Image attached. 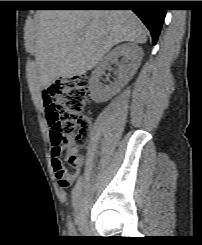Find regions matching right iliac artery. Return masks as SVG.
Returning <instances> with one entry per match:
<instances>
[{"instance_id":"1","label":"right iliac artery","mask_w":202,"mask_h":245,"mask_svg":"<svg viewBox=\"0 0 202 245\" xmlns=\"http://www.w3.org/2000/svg\"><path fill=\"white\" fill-rule=\"evenodd\" d=\"M68 229H69L70 235L75 236L77 234L74 224L72 222L69 223Z\"/></svg>"}]
</instances>
